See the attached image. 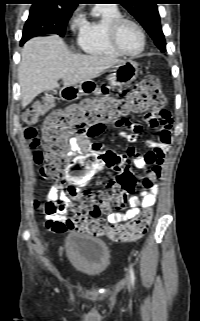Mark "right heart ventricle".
Wrapping results in <instances>:
<instances>
[{
	"mask_svg": "<svg viewBox=\"0 0 200 321\" xmlns=\"http://www.w3.org/2000/svg\"><path fill=\"white\" fill-rule=\"evenodd\" d=\"M122 17L115 5L101 4L93 9V15L84 20L79 30L77 44L87 54L99 57L118 58L121 56L111 46L108 31L111 23Z\"/></svg>",
	"mask_w": 200,
	"mask_h": 321,
	"instance_id": "right-heart-ventricle-1",
	"label": "right heart ventricle"
}]
</instances>
